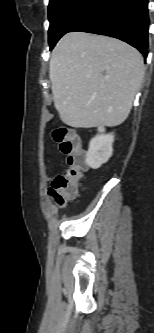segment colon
<instances>
[{
	"label": "colon",
	"mask_w": 154,
	"mask_h": 333,
	"mask_svg": "<svg viewBox=\"0 0 154 333\" xmlns=\"http://www.w3.org/2000/svg\"><path fill=\"white\" fill-rule=\"evenodd\" d=\"M53 139L60 151L67 155V167L64 172L54 178L49 188V195L58 206H63L74 198L86 170L85 154L81 141L73 129L60 126L54 129Z\"/></svg>",
	"instance_id": "1"
}]
</instances>
